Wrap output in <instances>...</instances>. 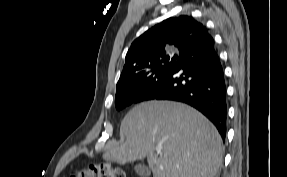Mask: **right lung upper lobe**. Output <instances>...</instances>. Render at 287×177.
<instances>
[{"label": "right lung upper lobe", "mask_w": 287, "mask_h": 177, "mask_svg": "<svg viewBox=\"0 0 287 177\" xmlns=\"http://www.w3.org/2000/svg\"><path fill=\"white\" fill-rule=\"evenodd\" d=\"M206 27L191 16L171 17L147 30L131 45L117 86L131 84L155 62L179 57Z\"/></svg>", "instance_id": "cb5924a9"}]
</instances>
